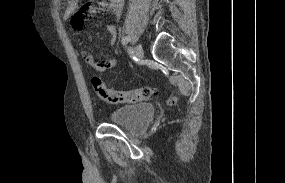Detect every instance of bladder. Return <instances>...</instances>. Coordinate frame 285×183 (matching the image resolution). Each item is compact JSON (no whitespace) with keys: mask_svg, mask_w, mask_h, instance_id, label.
<instances>
[{"mask_svg":"<svg viewBox=\"0 0 285 183\" xmlns=\"http://www.w3.org/2000/svg\"><path fill=\"white\" fill-rule=\"evenodd\" d=\"M155 107L149 103H138L115 109L110 116L113 124L131 131L145 128L155 115Z\"/></svg>","mask_w":285,"mask_h":183,"instance_id":"obj_1","label":"bladder"}]
</instances>
